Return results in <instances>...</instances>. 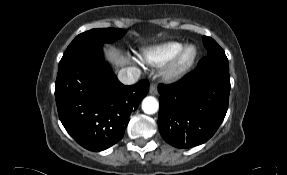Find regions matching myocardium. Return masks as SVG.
Listing matches in <instances>:
<instances>
[{
	"label": "myocardium",
	"mask_w": 287,
	"mask_h": 175,
	"mask_svg": "<svg viewBox=\"0 0 287 175\" xmlns=\"http://www.w3.org/2000/svg\"><path fill=\"white\" fill-rule=\"evenodd\" d=\"M190 52L189 57L184 60V54ZM198 58V48L195 44L183 45L179 51L176 53L174 58L169 62L166 70L165 76L170 80H178L184 77L194 66Z\"/></svg>",
	"instance_id": "myocardium-1"
}]
</instances>
